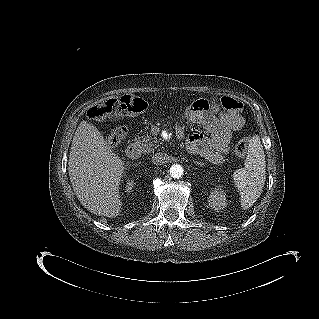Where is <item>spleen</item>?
<instances>
[{
  "instance_id": "obj_1",
  "label": "spleen",
  "mask_w": 319,
  "mask_h": 319,
  "mask_svg": "<svg viewBox=\"0 0 319 319\" xmlns=\"http://www.w3.org/2000/svg\"><path fill=\"white\" fill-rule=\"evenodd\" d=\"M245 166L233 174L234 185L240 193L242 207L252 206L260 196L266 174L263 146L258 135L250 139Z\"/></svg>"
}]
</instances>
